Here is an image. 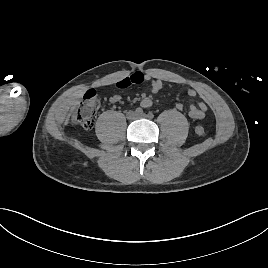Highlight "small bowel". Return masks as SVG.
<instances>
[{"mask_svg":"<svg viewBox=\"0 0 268 268\" xmlns=\"http://www.w3.org/2000/svg\"><path fill=\"white\" fill-rule=\"evenodd\" d=\"M129 81L130 85L140 84L142 82H148L150 84L151 92L157 93L163 88V81L160 78L154 77L150 74H144L142 72H135L129 77L124 78L117 85L121 84L123 81ZM187 94L190 97H195L197 95V91L194 88H189L187 90ZM120 95H113L110 98L111 103H119L121 101ZM152 99L150 96L144 95L141 98L140 105L144 108H149L152 106ZM177 110H183L184 106L182 103L176 104ZM207 110V105L205 102L200 101L197 104L191 105L189 107V116L194 120H201L205 116V112Z\"/></svg>","mask_w":268,"mask_h":268,"instance_id":"1","label":"small bowel"}]
</instances>
